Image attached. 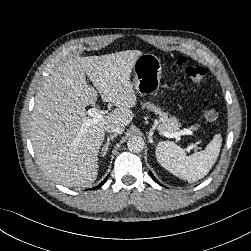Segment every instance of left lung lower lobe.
I'll use <instances>...</instances> for the list:
<instances>
[{
    "label": "left lung lower lobe",
    "mask_w": 251,
    "mask_h": 251,
    "mask_svg": "<svg viewBox=\"0 0 251 251\" xmlns=\"http://www.w3.org/2000/svg\"><path fill=\"white\" fill-rule=\"evenodd\" d=\"M150 175H151L152 179L159 184V182L157 181V179L154 177V175L151 172H150Z\"/></svg>",
    "instance_id": "obj_1"
}]
</instances>
